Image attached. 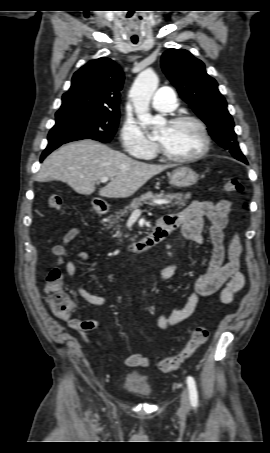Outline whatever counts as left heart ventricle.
Wrapping results in <instances>:
<instances>
[{"label":"left heart ventricle","instance_id":"obj_1","mask_svg":"<svg viewBox=\"0 0 270 453\" xmlns=\"http://www.w3.org/2000/svg\"><path fill=\"white\" fill-rule=\"evenodd\" d=\"M157 140L166 152L178 157L193 155L203 145L199 129L190 122L164 124L157 134Z\"/></svg>","mask_w":270,"mask_h":453}]
</instances>
